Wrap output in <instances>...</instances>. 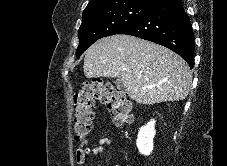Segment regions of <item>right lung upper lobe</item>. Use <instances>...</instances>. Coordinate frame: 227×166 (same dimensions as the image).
I'll return each mask as SVG.
<instances>
[{
	"mask_svg": "<svg viewBox=\"0 0 227 166\" xmlns=\"http://www.w3.org/2000/svg\"><path fill=\"white\" fill-rule=\"evenodd\" d=\"M162 1L163 0H90L89 4L84 9L83 13L91 12V11L112 6V5L129 3V2H137V3L155 6Z\"/></svg>",
	"mask_w": 227,
	"mask_h": 166,
	"instance_id": "1",
	"label": "right lung upper lobe"
}]
</instances>
